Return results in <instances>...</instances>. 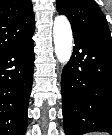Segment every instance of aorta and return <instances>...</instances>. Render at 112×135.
I'll return each mask as SVG.
<instances>
[{
    "label": "aorta",
    "mask_w": 112,
    "mask_h": 135,
    "mask_svg": "<svg viewBox=\"0 0 112 135\" xmlns=\"http://www.w3.org/2000/svg\"><path fill=\"white\" fill-rule=\"evenodd\" d=\"M53 38L56 57L65 65L71 58L73 36L70 22L63 15L54 19Z\"/></svg>",
    "instance_id": "1"
}]
</instances>
